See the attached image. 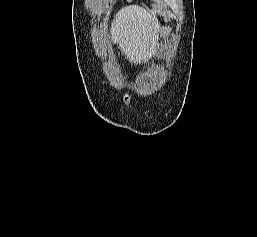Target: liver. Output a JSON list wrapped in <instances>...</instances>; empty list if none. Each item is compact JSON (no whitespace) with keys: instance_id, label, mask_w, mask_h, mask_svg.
I'll return each mask as SVG.
<instances>
[{"instance_id":"6515ba94","label":"liver","mask_w":257,"mask_h":237,"mask_svg":"<svg viewBox=\"0 0 257 237\" xmlns=\"http://www.w3.org/2000/svg\"><path fill=\"white\" fill-rule=\"evenodd\" d=\"M111 40L131 63L147 62L159 46L160 25L144 8L126 6L118 11L111 26Z\"/></svg>"}]
</instances>
